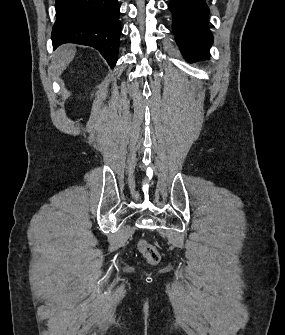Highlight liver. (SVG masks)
Returning a JSON list of instances; mask_svg holds the SVG:
<instances>
[{"label": "liver", "mask_w": 285, "mask_h": 335, "mask_svg": "<svg viewBox=\"0 0 285 335\" xmlns=\"http://www.w3.org/2000/svg\"><path fill=\"white\" fill-rule=\"evenodd\" d=\"M76 48L71 46V44H65V46H60L55 52V62L52 64V72H54L56 78L61 76L62 72L66 70L73 58H75Z\"/></svg>", "instance_id": "1"}]
</instances>
